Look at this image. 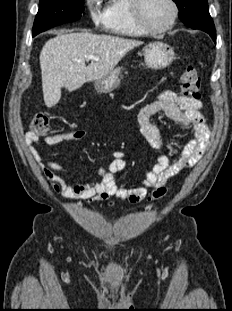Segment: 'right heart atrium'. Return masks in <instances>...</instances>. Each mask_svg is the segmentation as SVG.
Returning a JSON list of instances; mask_svg holds the SVG:
<instances>
[{"instance_id":"d8ad5b80","label":"right heart atrium","mask_w":232,"mask_h":311,"mask_svg":"<svg viewBox=\"0 0 232 311\" xmlns=\"http://www.w3.org/2000/svg\"><path fill=\"white\" fill-rule=\"evenodd\" d=\"M90 17L95 25L100 26L105 23V12L99 8L101 0H85Z\"/></svg>"}]
</instances>
